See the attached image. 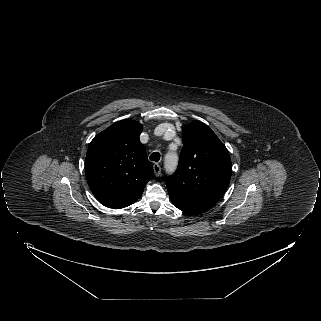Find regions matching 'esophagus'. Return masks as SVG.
I'll return each instance as SVG.
<instances>
[{
  "label": "esophagus",
  "mask_w": 321,
  "mask_h": 321,
  "mask_svg": "<svg viewBox=\"0 0 321 321\" xmlns=\"http://www.w3.org/2000/svg\"><path fill=\"white\" fill-rule=\"evenodd\" d=\"M153 170L157 177L161 175V166L158 163L153 164Z\"/></svg>",
  "instance_id": "obj_1"
}]
</instances>
